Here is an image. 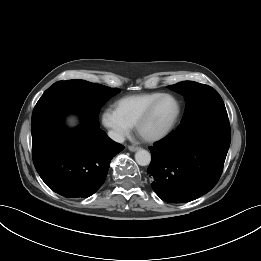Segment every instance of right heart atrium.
I'll list each match as a JSON object with an SVG mask.
<instances>
[{
  "label": "right heart atrium",
  "instance_id": "obj_1",
  "mask_svg": "<svg viewBox=\"0 0 261 261\" xmlns=\"http://www.w3.org/2000/svg\"><path fill=\"white\" fill-rule=\"evenodd\" d=\"M103 125L117 141L129 136L132 126L125 121L113 108H106L101 115Z\"/></svg>",
  "mask_w": 261,
  "mask_h": 261
}]
</instances>
